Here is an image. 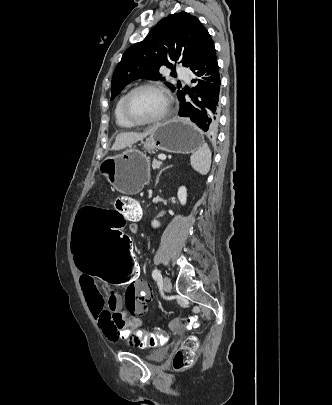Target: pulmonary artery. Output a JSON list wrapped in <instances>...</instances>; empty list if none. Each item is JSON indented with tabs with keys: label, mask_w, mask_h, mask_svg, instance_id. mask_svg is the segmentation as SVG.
<instances>
[{
	"label": "pulmonary artery",
	"mask_w": 332,
	"mask_h": 405,
	"mask_svg": "<svg viewBox=\"0 0 332 405\" xmlns=\"http://www.w3.org/2000/svg\"><path fill=\"white\" fill-rule=\"evenodd\" d=\"M177 73L182 79H184L186 81H189V75H188V72H187V70L185 68L178 67L177 68Z\"/></svg>",
	"instance_id": "pulmonary-artery-1"
}]
</instances>
